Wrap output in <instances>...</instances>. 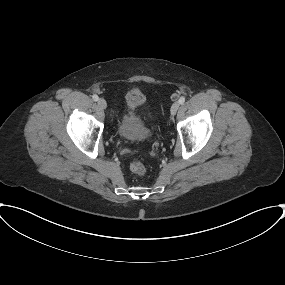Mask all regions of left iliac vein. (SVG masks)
<instances>
[{"label": "left iliac vein", "instance_id": "left-iliac-vein-1", "mask_svg": "<svg viewBox=\"0 0 285 285\" xmlns=\"http://www.w3.org/2000/svg\"><path fill=\"white\" fill-rule=\"evenodd\" d=\"M178 109H179V103L178 102L173 103L170 109L171 115L174 116L177 113Z\"/></svg>", "mask_w": 285, "mask_h": 285}]
</instances>
